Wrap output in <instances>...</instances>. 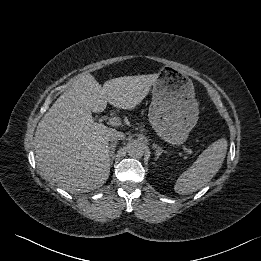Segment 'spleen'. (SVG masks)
I'll return each mask as SVG.
<instances>
[{"label":"spleen","mask_w":261,"mask_h":261,"mask_svg":"<svg viewBox=\"0 0 261 261\" xmlns=\"http://www.w3.org/2000/svg\"><path fill=\"white\" fill-rule=\"evenodd\" d=\"M227 152V140L218 139L205 149L184 171L174 185V191L180 195L193 193L205 186L218 172Z\"/></svg>","instance_id":"3e777b00"}]
</instances>
